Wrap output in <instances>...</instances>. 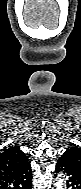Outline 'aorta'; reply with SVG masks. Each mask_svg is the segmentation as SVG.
Wrapping results in <instances>:
<instances>
[{
    "mask_svg": "<svg viewBox=\"0 0 81 189\" xmlns=\"http://www.w3.org/2000/svg\"><path fill=\"white\" fill-rule=\"evenodd\" d=\"M64 186V179L62 178L61 175L58 176L55 187L56 189H63Z\"/></svg>",
    "mask_w": 81,
    "mask_h": 189,
    "instance_id": "762f6f07",
    "label": "aorta"
}]
</instances>
